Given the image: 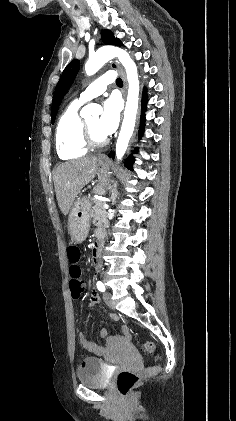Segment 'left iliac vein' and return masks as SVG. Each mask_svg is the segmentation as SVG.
<instances>
[{
	"label": "left iliac vein",
	"mask_w": 236,
	"mask_h": 421,
	"mask_svg": "<svg viewBox=\"0 0 236 421\" xmlns=\"http://www.w3.org/2000/svg\"><path fill=\"white\" fill-rule=\"evenodd\" d=\"M103 299H104V301L107 305H109L110 307H114V303H113V300H112L111 293L104 292Z\"/></svg>",
	"instance_id": "left-iliac-vein-1"
}]
</instances>
